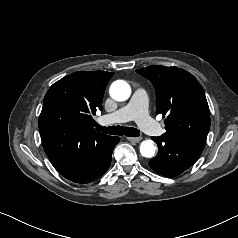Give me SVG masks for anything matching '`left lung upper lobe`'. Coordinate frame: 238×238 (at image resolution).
<instances>
[{
    "label": "left lung upper lobe",
    "mask_w": 238,
    "mask_h": 238,
    "mask_svg": "<svg viewBox=\"0 0 238 238\" xmlns=\"http://www.w3.org/2000/svg\"><path fill=\"white\" fill-rule=\"evenodd\" d=\"M136 72L152 82L156 90V113L167 117L162 137L204 148L210 111L198 80L177 67L152 65Z\"/></svg>",
    "instance_id": "5c2ea615"
}]
</instances>
